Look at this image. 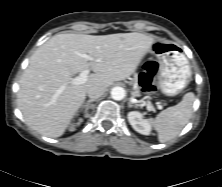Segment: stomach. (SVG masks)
<instances>
[{
  "label": "stomach",
  "mask_w": 222,
  "mask_h": 187,
  "mask_svg": "<svg viewBox=\"0 0 222 187\" xmlns=\"http://www.w3.org/2000/svg\"><path fill=\"white\" fill-rule=\"evenodd\" d=\"M149 53L159 63V86L163 93L175 96L188 86L192 72L181 46L172 41L155 39Z\"/></svg>",
  "instance_id": "1"
}]
</instances>
